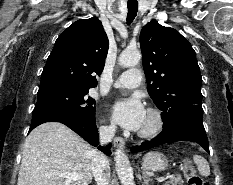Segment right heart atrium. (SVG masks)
<instances>
[{"label":"right heart atrium","mask_w":233,"mask_h":185,"mask_svg":"<svg viewBox=\"0 0 233 185\" xmlns=\"http://www.w3.org/2000/svg\"><path fill=\"white\" fill-rule=\"evenodd\" d=\"M101 130L105 134H112L115 130V127L113 124H106L101 127Z\"/></svg>","instance_id":"obj_1"}]
</instances>
